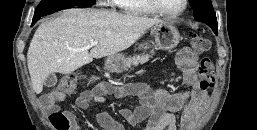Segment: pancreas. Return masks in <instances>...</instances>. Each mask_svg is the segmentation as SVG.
Returning <instances> with one entry per match:
<instances>
[{"label":"pancreas","instance_id":"obj_1","mask_svg":"<svg viewBox=\"0 0 257 130\" xmlns=\"http://www.w3.org/2000/svg\"><path fill=\"white\" fill-rule=\"evenodd\" d=\"M151 56L149 55H134L125 60V68H130L131 66H137L138 64H144L149 61Z\"/></svg>","mask_w":257,"mask_h":130}]
</instances>
